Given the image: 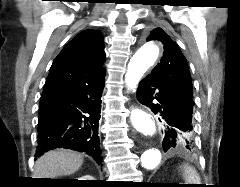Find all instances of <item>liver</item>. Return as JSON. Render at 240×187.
<instances>
[{
  "label": "liver",
  "mask_w": 240,
  "mask_h": 187,
  "mask_svg": "<svg viewBox=\"0 0 240 187\" xmlns=\"http://www.w3.org/2000/svg\"><path fill=\"white\" fill-rule=\"evenodd\" d=\"M83 164V156L68 149H57L45 153L34 166V178H54L70 175Z\"/></svg>",
  "instance_id": "1"
}]
</instances>
